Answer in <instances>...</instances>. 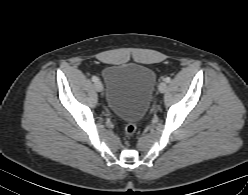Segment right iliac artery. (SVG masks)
<instances>
[{"label":"right iliac artery","mask_w":248,"mask_h":195,"mask_svg":"<svg viewBox=\"0 0 248 195\" xmlns=\"http://www.w3.org/2000/svg\"><path fill=\"white\" fill-rule=\"evenodd\" d=\"M91 79H92V81H93V82H97V81H99L98 77H96V76H92V78H91Z\"/></svg>","instance_id":"obj_1"}]
</instances>
